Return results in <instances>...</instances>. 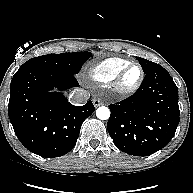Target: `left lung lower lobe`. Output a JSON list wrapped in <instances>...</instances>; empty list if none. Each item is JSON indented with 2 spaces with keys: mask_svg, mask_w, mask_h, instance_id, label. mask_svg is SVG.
Listing matches in <instances>:
<instances>
[{
  "mask_svg": "<svg viewBox=\"0 0 193 193\" xmlns=\"http://www.w3.org/2000/svg\"><path fill=\"white\" fill-rule=\"evenodd\" d=\"M107 123L114 144L134 156H148L165 147L179 123L178 89L160 65L145 74L130 97L109 105Z\"/></svg>",
  "mask_w": 193,
  "mask_h": 193,
  "instance_id": "1",
  "label": "left lung lower lobe"
}]
</instances>
